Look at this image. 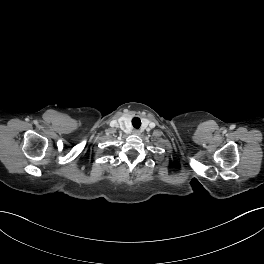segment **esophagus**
Returning <instances> with one entry per match:
<instances>
[{
	"instance_id": "1",
	"label": "esophagus",
	"mask_w": 264,
	"mask_h": 264,
	"mask_svg": "<svg viewBox=\"0 0 264 264\" xmlns=\"http://www.w3.org/2000/svg\"><path fill=\"white\" fill-rule=\"evenodd\" d=\"M133 134H134V135H139V134H140V131L137 130V129H135V130H133Z\"/></svg>"
}]
</instances>
